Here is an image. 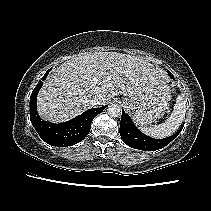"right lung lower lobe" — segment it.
<instances>
[{
	"label": "right lung lower lobe",
	"mask_w": 211,
	"mask_h": 211,
	"mask_svg": "<svg viewBox=\"0 0 211 211\" xmlns=\"http://www.w3.org/2000/svg\"><path fill=\"white\" fill-rule=\"evenodd\" d=\"M41 78L30 97V120L35 130L43 141L52 146H72L82 141L91 128L92 120L101 113L107 106L92 108L74 119L54 124L42 120L37 112V94L46 79L48 72Z\"/></svg>",
	"instance_id": "1"
}]
</instances>
